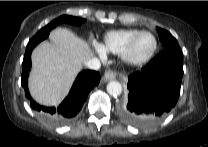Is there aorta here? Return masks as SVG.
I'll return each instance as SVG.
<instances>
[{"label": "aorta", "instance_id": "1", "mask_svg": "<svg viewBox=\"0 0 208 147\" xmlns=\"http://www.w3.org/2000/svg\"><path fill=\"white\" fill-rule=\"evenodd\" d=\"M107 92L112 96H118L122 93V86L118 81H111L107 84Z\"/></svg>", "mask_w": 208, "mask_h": 147}]
</instances>
